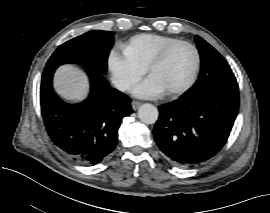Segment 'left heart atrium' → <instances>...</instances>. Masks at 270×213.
I'll use <instances>...</instances> for the list:
<instances>
[{
	"instance_id": "1",
	"label": "left heart atrium",
	"mask_w": 270,
	"mask_h": 213,
	"mask_svg": "<svg viewBox=\"0 0 270 213\" xmlns=\"http://www.w3.org/2000/svg\"><path fill=\"white\" fill-rule=\"evenodd\" d=\"M164 90L156 79L152 76L148 77L144 82L138 85L134 94L139 98L155 99L162 95Z\"/></svg>"
}]
</instances>
